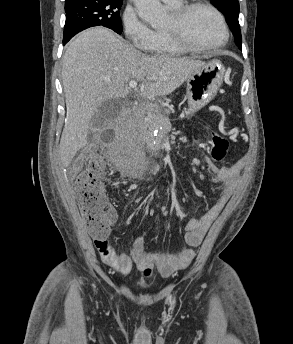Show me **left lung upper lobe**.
<instances>
[{"mask_svg":"<svg viewBox=\"0 0 293 344\" xmlns=\"http://www.w3.org/2000/svg\"><path fill=\"white\" fill-rule=\"evenodd\" d=\"M211 3L217 7L227 19V23L234 35L236 44L241 48L242 37L240 25L238 22L239 2L238 0H211Z\"/></svg>","mask_w":293,"mask_h":344,"instance_id":"5c2ea615","label":"left lung upper lobe"}]
</instances>
